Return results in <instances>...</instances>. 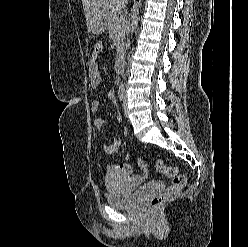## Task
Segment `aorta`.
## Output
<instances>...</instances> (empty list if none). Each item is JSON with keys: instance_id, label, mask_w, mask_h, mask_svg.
<instances>
[{"instance_id": "aorta-1", "label": "aorta", "mask_w": 248, "mask_h": 247, "mask_svg": "<svg viewBox=\"0 0 248 247\" xmlns=\"http://www.w3.org/2000/svg\"><path fill=\"white\" fill-rule=\"evenodd\" d=\"M141 7V3H139V5H138V9ZM124 78H125V75L123 76V80H124ZM123 83V82H122Z\"/></svg>"}]
</instances>
